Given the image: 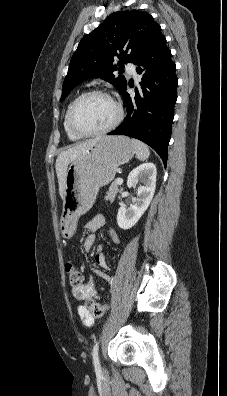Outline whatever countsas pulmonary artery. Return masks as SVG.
<instances>
[{"instance_id":"obj_1","label":"pulmonary artery","mask_w":227,"mask_h":396,"mask_svg":"<svg viewBox=\"0 0 227 396\" xmlns=\"http://www.w3.org/2000/svg\"><path fill=\"white\" fill-rule=\"evenodd\" d=\"M127 71L131 75H136V65L133 63H128L127 66Z\"/></svg>"}]
</instances>
